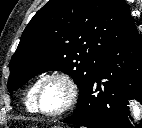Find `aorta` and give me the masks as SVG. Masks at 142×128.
<instances>
[{"mask_svg": "<svg viewBox=\"0 0 142 128\" xmlns=\"http://www.w3.org/2000/svg\"><path fill=\"white\" fill-rule=\"evenodd\" d=\"M141 110L142 108L137 103L132 104V113L135 119H139Z\"/></svg>", "mask_w": 142, "mask_h": 128, "instance_id": "aorta-1", "label": "aorta"}]
</instances>
